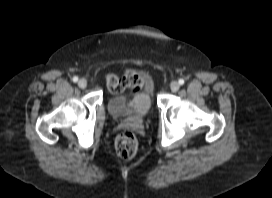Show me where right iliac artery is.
<instances>
[{
    "instance_id": "1",
    "label": "right iliac artery",
    "mask_w": 272,
    "mask_h": 198,
    "mask_svg": "<svg viewBox=\"0 0 272 198\" xmlns=\"http://www.w3.org/2000/svg\"><path fill=\"white\" fill-rule=\"evenodd\" d=\"M72 80H73V82H77L78 81V77L75 76V77H73Z\"/></svg>"
}]
</instances>
